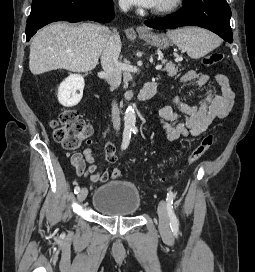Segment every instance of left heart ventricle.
I'll list each match as a JSON object with an SVG mask.
<instances>
[{"label": "left heart ventricle", "mask_w": 255, "mask_h": 272, "mask_svg": "<svg viewBox=\"0 0 255 272\" xmlns=\"http://www.w3.org/2000/svg\"><path fill=\"white\" fill-rule=\"evenodd\" d=\"M167 1H169V0H157L155 6L153 8L160 7V6L164 5Z\"/></svg>", "instance_id": "1"}]
</instances>
